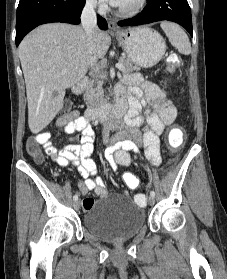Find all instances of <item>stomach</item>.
Wrapping results in <instances>:
<instances>
[{"label": "stomach", "instance_id": "1", "mask_svg": "<svg viewBox=\"0 0 227 279\" xmlns=\"http://www.w3.org/2000/svg\"><path fill=\"white\" fill-rule=\"evenodd\" d=\"M116 38L136 66L149 68L156 65L166 51L163 37L148 27H136L116 33Z\"/></svg>", "mask_w": 227, "mask_h": 279}]
</instances>
